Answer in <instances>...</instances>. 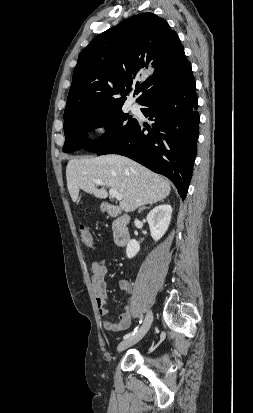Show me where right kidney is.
<instances>
[{"instance_id": "obj_1", "label": "right kidney", "mask_w": 253, "mask_h": 413, "mask_svg": "<svg viewBox=\"0 0 253 413\" xmlns=\"http://www.w3.org/2000/svg\"><path fill=\"white\" fill-rule=\"evenodd\" d=\"M172 215V207L168 204L156 206L147 215V222L150 227V233L154 241L160 240L167 231ZM140 250V244L132 239L128 242L126 255L129 259L136 256Z\"/></svg>"}]
</instances>
